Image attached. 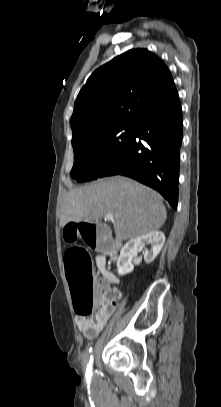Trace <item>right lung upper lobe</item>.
I'll list each match as a JSON object with an SVG mask.
<instances>
[{
	"instance_id": "cb5924a9",
	"label": "right lung upper lobe",
	"mask_w": 221,
	"mask_h": 407,
	"mask_svg": "<svg viewBox=\"0 0 221 407\" xmlns=\"http://www.w3.org/2000/svg\"><path fill=\"white\" fill-rule=\"evenodd\" d=\"M175 90L168 67L147 49L115 57L92 73L77 96L72 144L110 127L135 124Z\"/></svg>"
}]
</instances>
